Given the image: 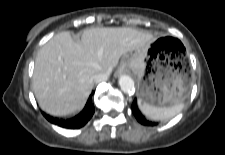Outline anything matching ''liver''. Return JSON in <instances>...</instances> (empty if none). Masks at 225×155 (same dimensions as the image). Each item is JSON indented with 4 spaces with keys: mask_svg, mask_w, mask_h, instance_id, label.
Segmentation results:
<instances>
[{
    "mask_svg": "<svg viewBox=\"0 0 225 155\" xmlns=\"http://www.w3.org/2000/svg\"><path fill=\"white\" fill-rule=\"evenodd\" d=\"M155 37L129 27L90 28L81 42L69 32L52 37L39 50L32 87L40 107L65 117L81 111L94 87V76L111 72L128 52L145 54Z\"/></svg>",
    "mask_w": 225,
    "mask_h": 155,
    "instance_id": "1",
    "label": "liver"
}]
</instances>
